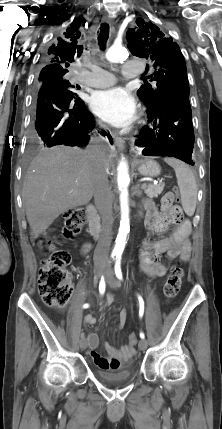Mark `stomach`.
Instances as JSON below:
<instances>
[{"label": "stomach", "instance_id": "stomach-1", "mask_svg": "<svg viewBox=\"0 0 222 429\" xmlns=\"http://www.w3.org/2000/svg\"><path fill=\"white\" fill-rule=\"evenodd\" d=\"M138 172L143 176L156 177L160 174V165L152 159H144L135 162Z\"/></svg>", "mask_w": 222, "mask_h": 429}]
</instances>
